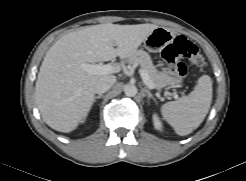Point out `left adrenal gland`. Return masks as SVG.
<instances>
[{"instance_id": "obj_1", "label": "left adrenal gland", "mask_w": 246, "mask_h": 181, "mask_svg": "<svg viewBox=\"0 0 246 181\" xmlns=\"http://www.w3.org/2000/svg\"><path fill=\"white\" fill-rule=\"evenodd\" d=\"M143 92L147 95L148 100L152 99L156 103V99L153 97V95L151 94V92L149 90H147L146 88H144L143 89Z\"/></svg>"}]
</instances>
